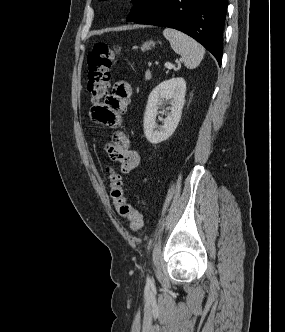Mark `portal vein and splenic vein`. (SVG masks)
I'll return each mask as SVG.
<instances>
[{"label": "portal vein and splenic vein", "instance_id": "1", "mask_svg": "<svg viewBox=\"0 0 285 332\" xmlns=\"http://www.w3.org/2000/svg\"><path fill=\"white\" fill-rule=\"evenodd\" d=\"M165 67L168 68V69H171V68L174 67V65H172V64L169 63V62H166V63H165Z\"/></svg>", "mask_w": 285, "mask_h": 332}]
</instances>
